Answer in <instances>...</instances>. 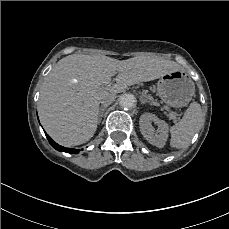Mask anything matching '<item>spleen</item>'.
Listing matches in <instances>:
<instances>
[{"label": "spleen", "mask_w": 229, "mask_h": 229, "mask_svg": "<svg viewBox=\"0 0 229 229\" xmlns=\"http://www.w3.org/2000/svg\"><path fill=\"white\" fill-rule=\"evenodd\" d=\"M204 124V117L200 104L194 102L185 112L181 121L170 128V145L174 148H185L189 146L194 134Z\"/></svg>", "instance_id": "1"}]
</instances>
